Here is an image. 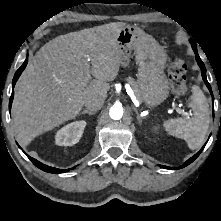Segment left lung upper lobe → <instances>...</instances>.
<instances>
[{"label":"left lung upper lobe","mask_w":221,"mask_h":221,"mask_svg":"<svg viewBox=\"0 0 221 221\" xmlns=\"http://www.w3.org/2000/svg\"><path fill=\"white\" fill-rule=\"evenodd\" d=\"M191 44H192L193 49H196V44H195V42H194V41H191Z\"/></svg>","instance_id":"left-lung-upper-lobe-1"}]
</instances>
